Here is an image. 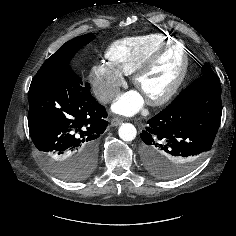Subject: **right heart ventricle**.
Segmentation results:
<instances>
[{
    "label": "right heart ventricle",
    "mask_w": 236,
    "mask_h": 236,
    "mask_svg": "<svg viewBox=\"0 0 236 236\" xmlns=\"http://www.w3.org/2000/svg\"><path fill=\"white\" fill-rule=\"evenodd\" d=\"M168 34L153 33L118 40L106 50L108 63L123 75H131L155 51L172 43Z\"/></svg>",
    "instance_id": "right-heart-ventricle-1"
}]
</instances>
